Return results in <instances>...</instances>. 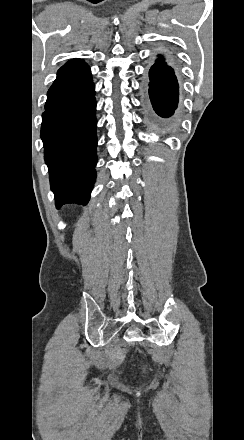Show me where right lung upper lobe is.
<instances>
[{
  "label": "right lung upper lobe",
  "mask_w": 244,
  "mask_h": 440,
  "mask_svg": "<svg viewBox=\"0 0 244 440\" xmlns=\"http://www.w3.org/2000/svg\"><path fill=\"white\" fill-rule=\"evenodd\" d=\"M72 61H76V62H84V61H82V60H80V59H73Z\"/></svg>",
  "instance_id": "1"
}]
</instances>
